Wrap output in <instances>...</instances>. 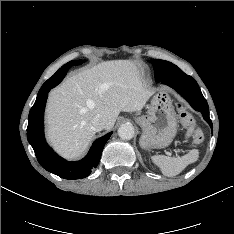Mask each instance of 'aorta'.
Listing matches in <instances>:
<instances>
[{"instance_id":"obj_1","label":"aorta","mask_w":234,"mask_h":234,"mask_svg":"<svg viewBox=\"0 0 234 234\" xmlns=\"http://www.w3.org/2000/svg\"><path fill=\"white\" fill-rule=\"evenodd\" d=\"M118 135L123 140H130L134 137V127L129 123L122 124L118 128Z\"/></svg>"}]
</instances>
